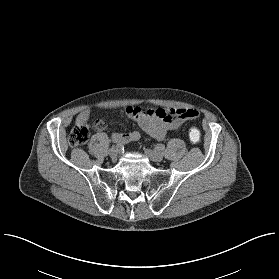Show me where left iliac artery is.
Returning a JSON list of instances; mask_svg holds the SVG:
<instances>
[{"mask_svg": "<svg viewBox=\"0 0 279 279\" xmlns=\"http://www.w3.org/2000/svg\"><path fill=\"white\" fill-rule=\"evenodd\" d=\"M156 148H157V150H159V151H164L165 146H164L163 144H157V145H156Z\"/></svg>", "mask_w": 279, "mask_h": 279, "instance_id": "1", "label": "left iliac artery"}]
</instances>
